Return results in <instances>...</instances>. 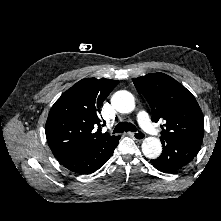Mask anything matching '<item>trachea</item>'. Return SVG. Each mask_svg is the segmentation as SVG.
Instances as JSON below:
<instances>
[{"mask_svg": "<svg viewBox=\"0 0 221 221\" xmlns=\"http://www.w3.org/2000/svg\"><path fill=\"white\" fill-rule=\"evenodd\" d=\"M124 131L135 132L136 131V127L132 123L120 122L114 128L113 133H122Z\"/></svg>", "mask_w": 221, "mask_h": 221, "instance_id": "3493384b", "label": "trachea"}]
</instances>
